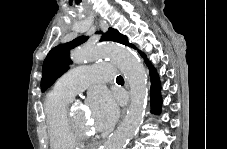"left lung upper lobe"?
<instances>
[{
  "label": "left lung upper lobe",
  "instance_id": "left-lung-upper-lobe-1",
  "mask_svg": "<svg viewBox=\"0 0 227 149\" xmlns=\"http://www.w3.org/2000/svg\"><path fill=\"white\" fill-rule=\"evenodd\" d=\"M101 33V32H97ZM88 37L81 36L75 38L71 42L54 47L44 60L42 68L41 90L45 91L50 87L57 78H59L69 68V49H72L85 41ZM100 41H115L128 45V39L126 36L120 34L117 30L109 28L106 33L103 34Z\"/></svg>",
  "mask_w": 227,
  "mask_h": 149
}]
</instances>
